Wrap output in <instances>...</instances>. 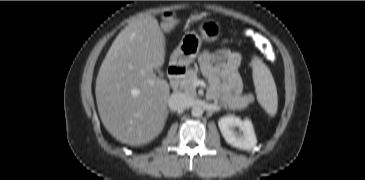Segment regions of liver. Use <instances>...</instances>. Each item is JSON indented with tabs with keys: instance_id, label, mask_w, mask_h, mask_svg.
<instances>
[{
	"instance_id": "liver-1",
	"label": "liver",
	"mask_w": 365,
	"mask_h": 180,
	"mask_svg": "<svg viewBox=\"0 0 365 180\" xmlns=\"http://www.w3.org/2000/svg\"><path fill=\"white\" fill-rule=\"evenodd\" d=\"M179 21L132 20L116 37L96 79V101L106 130L131 146L151 142L163 130L170 89L154 69L165 61V32Z\"/></svg>"
}]
</instances>
